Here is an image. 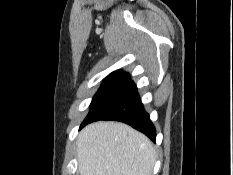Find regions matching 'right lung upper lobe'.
<instances>
[{
  "instance_id": "right-lung-upper-lobe-1",
  "label": "right lung upper lobe",
  "mask_w": 233,
  "mask_h": 175,
  "mask_svg": "<svg viewBox=\"0 0 233 175\" xmlns=\"http://www.w3.org/2000/svg\"><path fill=\"white\" fill-rule=\"evenodd\" d=\"M107 78H129V75L125 72L118 70V71L112 72Z\"/></svg>"
}]
</instances>
